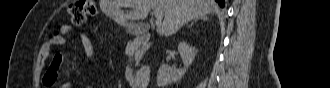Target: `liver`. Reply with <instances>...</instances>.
<instances>
[{
    "label": "liver",
    "mask_w": 330,
    "mask_h": 88,
    "mask_svg": "<svg viewBox=\"0 0 330 88\" xmlns=\"http://www.w3.org/2000/svg\"><path fill=\"white\" fill-rule=\"evenodd\" d=\"M99 5L106 16L129 29L136 27L133 21L146 18L151 8L159 9L164 20L156 31L165 37L175 34L192 19L218 11L214 0H100ZM124 7L132 10L125 14Z\"/></svg>",
    "instance_id": "1"
}]
</instances>
